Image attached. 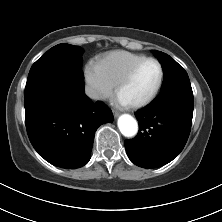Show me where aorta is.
I'll use <instances>...</instances> for the list:
<instances>
[{
    "label": "aorta",
    "mask_w": 222,
    "mask_h": 222,
    "mask_svg": "<svg viewBox=\"0 0 222 222\" xmlns=\"http://www.w3.org/2000/svg\"><path fill=\"white\" fill-rule=\"evenodd\" d=\"M118 128L123 136L133 137L138 132L137 121L129 114H123L118 119Z\"/></svg>",
    "instance_id": "762f6f07"
}]
</instances>
